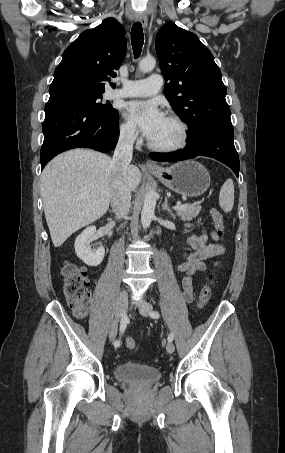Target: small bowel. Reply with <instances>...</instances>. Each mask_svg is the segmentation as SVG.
I'll return each mask as SVG.
<instances>
[{
  "instance_id": "1",
  "label": "small bowel",
  "mask_w": 285,
  "mask_h": 453,
  "mask_svg": "<svg viewBox=\"0 0 285 453\" xmlns=\"http://www.w3.org/2000/svg\"><path fill=\"white\" fill-rule=\"evenodd\" d=\"M212 239L213 243H208ZM219 235L215 231H204L200 235H193L188 238L187 244L192 249L184 257V261L176 266V271L183 274L181 287L186 302L193 301L195 296L194 276L197 273L207 271L206 261L224 254L225 248L217 241ZM218 265V262H214Z\"/></svg>"
}]
</instances>
